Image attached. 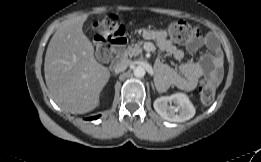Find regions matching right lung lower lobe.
I'll use <instances>...</instances> for the list:
<instances>
[{
  "instance_id": "98d812e1",
  "label": "right lung lower lobe",
  "mask_w": 261,
  "mask_h": 162,
  "mask_svg": "<svg viewBox=\"0 0 261 162\" xmlns=\"http://www.w3.org/2000/svg\"><path fill=\"white\" fill-rule=\"evenodd\" d=\"M99 116H94V117H90V118H87V120H95L97 119Z\"/></svg>"
}]
</instances>
